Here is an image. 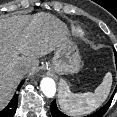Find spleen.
I'll return each mask as SVG.
<instances>
[{
    "mask_svg": "<svg viewBox=\"0 0 117 117\" xmlns=\"http://www.w3.org/2000/svg\"><path fill=\"white\" fill-rule=\"evenodd\" d=\"M112 85V74L107 72L102 83L93 92L75 94L65 80L60 82L59 105L63 112L76 117L87 115L98 109L107 99Z\"/></svg>",
    "mask_w": 117,
    "mask_h": 117,
    "instance_id": "1",
    "label": "spleen"
}]
</instances>
